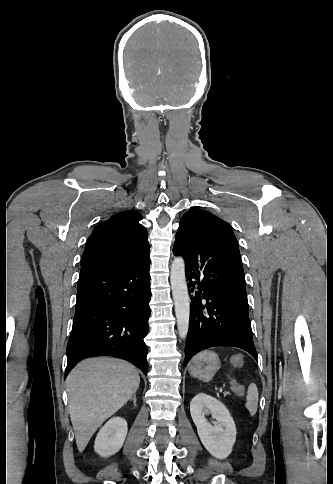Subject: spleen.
Here are the masks:
<instances>
[{"label": "spleen", "mask_w": 333, "mask_h": 484, "mask_svg": "<svg viewBox=\"0 0 333 484\" xmlns=\"http://www.w3.org/2000/svg\"><path fill=\"white\" fill-rule=\"evenodd\" d=\"M232 389H236V384L232 383ZM247 402L245 407L249 411L250 415L253 416L257 412L258 406V389L254 383H251L247 390Z\"/></svg>", "instance_id": "1"}]
</instances>
